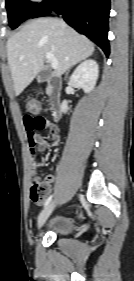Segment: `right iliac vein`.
<instances>
[{"mask_svg":"<svg viewBox=\"0 0 134 281\" xmlns=\"http://www.w3.org/2000/svg\"><path fill=\"white\" fill-rule=\"evenodd\" d=\"M56 204V200L52 201L51 203H49L45 209L41 212L39 218H38V228H40L43 223L46 221V219L49 217V215L51 214V212L53 211L54 207Z\"/></svg>","mask_w":134,"mask_h":281,"instance_id":"63e3f726","label":"right iliac vein"}]
</instances>
